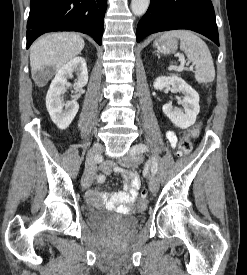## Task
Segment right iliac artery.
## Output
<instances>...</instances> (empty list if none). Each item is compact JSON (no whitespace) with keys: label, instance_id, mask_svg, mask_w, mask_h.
<instances>
[{"label":"right iliac artery","instance_id":"right-iliac-artery-1","mask_svg":"<svg viewBox=\"0 0 247 275\" xmlns=\"http://www.w3.org/2000/svg\"><path fill=\"white\" fill-rule=\"evenodd\" d=\"M95 158H96V162H103V157H102L101 154H96V155H95ZM97 180H98L99 182H103V181H104V176H103V175H99V176L97 177Z\"/></svg>","mask_w":247,"mask_h":275}]
</instances>
